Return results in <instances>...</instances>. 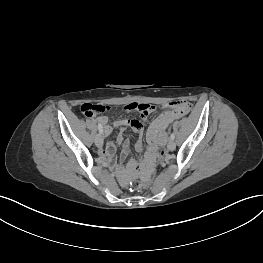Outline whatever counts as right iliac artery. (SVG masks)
<instances>
[{
  "mask_svg": "<svg viewBox=\"0 0 263 263\" xmlns=\"http://www.w3.org/2000/svg\"><path fill=\"white\" fill-rule=\"evenodd\" d=\"M98 130H99L100 134L103 132V128H102L101 124H99V123H98Z\"/></svg>",
  "mask_w": 263,
  "mask_h": 263,
  "instance_id": "1",
  "label": "right iliac artery"
}]
</instances>
